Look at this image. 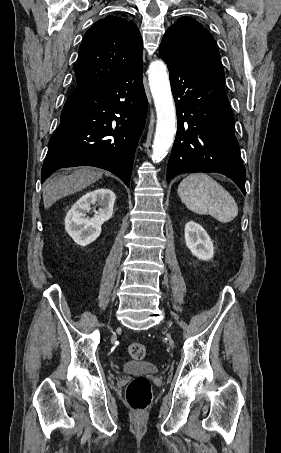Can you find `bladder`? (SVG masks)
Segmentation results:
<instances>
[{
	"instance_id": "31cf9c89",
	"label": "bladder",
	"mask_w": 281,
	"mask_h": 453,
	"mask_svg": "<svg viewBox=\"0 0 281 453\" xmlns=\"http://www.w3.org/2000/svg\"><path fill=\"white\" fill-rule=\"evenodd\" d=\"M123 371L128 374L146 375L155 374L157 369L147 362L129 361L124 364Z\"/></svg>"
}]
</instances>
